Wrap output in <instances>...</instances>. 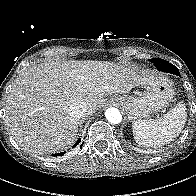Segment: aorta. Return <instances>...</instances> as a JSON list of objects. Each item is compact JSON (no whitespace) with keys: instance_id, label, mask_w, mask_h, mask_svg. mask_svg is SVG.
<instances>
[{"instance_id":"aorta-1","label":"aorta","mask_w":196,"mask_h":196,"mask_svg":"<svg viewBox=\"0 0 196 196\" xmlns=\"http://www.w3.org/2000/svg\"><path fill=\"white\" fill-rule=\"evenodd\" d=\"M105 117L112 124H119L122 121V115L116 108L106 109Z\"/></svg>"}]
</instances>
